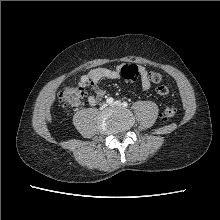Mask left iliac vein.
Instances as JSON below:
<instances>
[{"label": "left iliac vein", "instance_id": "left-iliac-vein-1", "mask_svg": "<svg viewBox=\"0 0 220 220\" xmlns=\"http://www.w3.org/2000/svg\"><path fill=\"white\" fill-rule=\"evenodd\" d=\"M122 104L120 101H115L112 106H115V107H120Z\"/></svg>", "mask_w": 220, "mask_h": 220}]
</instances>
